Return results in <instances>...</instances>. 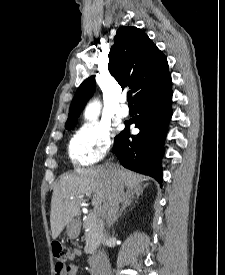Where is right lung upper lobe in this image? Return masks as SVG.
Returning a JSON list of instances; mask_svg holds the SVG:
<instances>
[{"instance_id":"cb5924a9","label":"right lung upper lobe","mask_w":225,"mask_h":275,"mask_svg":"<svg viewBox=\"0 0 225 275\" xmlns=\"http://www.w3.org/2000/svg\"><path fill=\"white\" fill-rule=\"evenodd\" d=\"M108 69L124 88L129 86L134 100L162 84L169 76L168 63L163 53L136 27L118 29L109 53ZM95 90L94 77L86 79L72 100L65 127L76 124L77 117Z\"/></svg>"}]
</instances>
